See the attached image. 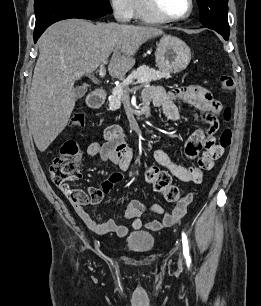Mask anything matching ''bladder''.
Returning a JSON list of instances; mask_svg holds the SVG:
<instances>
[{"mask_svg":"<svg viewBox=\"0 0 261 306\" xmlns=\"http://www.w3.org/2000/svg\"><path fill=\"white\" fill-rule=\"evenodd\" d=\"M154 236L146 231L132 232L126 238V247L136 253H147L154 247Z\"/></svg>","mask_w":261,"mask_h":306,"instance_id":"1","label":"bladder"}]
</instances>
